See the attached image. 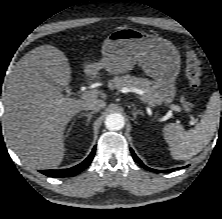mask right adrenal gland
Listing matches in <instances>:
<instances>
[{
	"instance_id": "right-adrenal-gland-1",
	"label": "right adrenal gland",
	"mask_w": 222,
	"mask_h": 219,
	"mask_svg": "<svg viewBox=\"0 0 222 219\" xmlns=\"http://www.w3.org/2000/svg\"><path fill=\"white\" fill-rule=\"evenodd\" d=\"M95 112L92 111L90 113H81L78 117H82V116H86L87 117V123L86 125H88V123L90 122L91 118H92V115L94 114Z\"/></svg>"
}]
</instances>
